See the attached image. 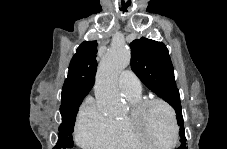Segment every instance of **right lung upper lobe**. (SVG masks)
<instances>
[{
    "label": "right lung upper lobe",
    "instance_id": "cb5924a9",
    "mask_svg": "<svg viewBox=\"0 0 227 149\" xmlns=\"http://www.w3.org/2000/svg\"><path fill=\"white\" fill-rule=\"evenodd\" d=\"M96 53L97 41H84L77 48L62 88L61 106L83 99L93 87L97 70Z\"/></svg>",
    "mask_w": 227,
    "mask_h": 149
}]
</instances>
